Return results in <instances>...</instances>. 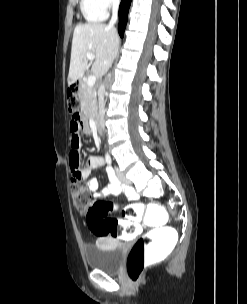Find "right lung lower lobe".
Wrapping results in <instances>:
<instances>
[{"instance_id": "right-lung-lower-lobe-1", "label": "right lung lower lobe", "mask_w": 247, "mask_h": 304, "mask_svg": "<svg viewBox=\"0 0 247 304\" xmlns=\"http://www.w3.org/2000/svg\"><path fill=\"white\" fill-rule=\"evenodd\" d=\"M130 3H131V0H122L120 7H119L118 32L121 37H123V35H124V30H125L126 23H127Z\"/></svg>"}]
</instances>
